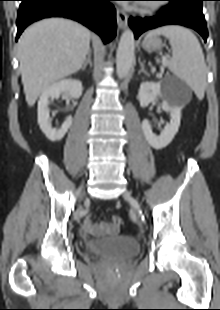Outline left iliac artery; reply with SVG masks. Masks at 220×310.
<instances>
[{"instance_id":"1","label":"left iliac artery","mask_w":220,"mask_h":310,"mask_svg":"<svg viewBox=\"0 0 220 310\" xmlns=\"http://www.w3.org/2000/svg\"><path fill=\"white\" fill-rule=\"evenodd\" d=\"M129 214H130L131 219H132L134 222H136V221H137V217H136L135 212L131 209V210L129 211Z\"/></svg>"}]
</instances>
